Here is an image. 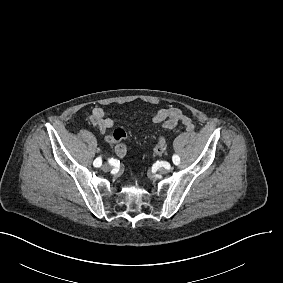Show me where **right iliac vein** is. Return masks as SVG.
Returning <instances> with one entry per match:
<instances>
[{"instance_id":"obj_1","label":"right iliac vein","mask_w":283,"mask_h":283,"mask_svg":"<svg viewBox=\"0 0 283 283\" xmlns=\"http://www.w3.org/2000/svg\"><path fill=\"white\" fill-rule=\"evenodd\" d=\"M111 168H112V166L110 165V164H108V163H105V164H103V166H102V169L104 170V171H110L111 170Z\"/></svg>"}]
</instances>
